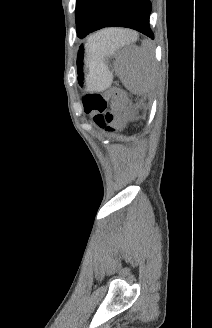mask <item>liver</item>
Listing matches in <instances>:
<instances>
[{"label": "liver", "mask_w": 212, "mask_h": 328, "mask_svg": "<svg viewBox=\"0 0 212 328\" xmlns=\"http://www.w3.org/2000/svg\"><path fill=\"white\" fill-rule=\"evenodd\" d=\"M110 30V37L112 38L113 42L118 44H127L131 41L137 39L136 33L130 30L124 29H109Z\"/></svg>", "instance_id": "liver-1"}]
</instances>
